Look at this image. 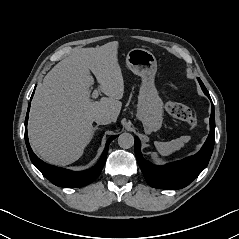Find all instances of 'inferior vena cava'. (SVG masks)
<instances>
[{
    "instance_id": "1",
    "label": "inferior vena cava",
    "mask_w": 239,
    "mask_h": 239,
    "mask_svg": "<svg viewBox=\"0 0 239 239\" xmlns=\"http://www.w3.org/2000/svg\"><path fill=\"white\" fill-rule=\"evenodd\" d=\"M94 121L98 125H106L112 122L111 116L108 113H99L95 116Z\"/></svg>"
}]
</instances>
